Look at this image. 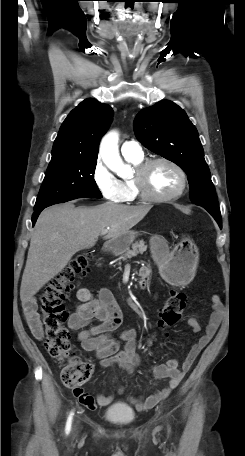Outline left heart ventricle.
Wrapping results in <instances>:
<instances>
[{
	"label": "left heart ventricle",
	"instance_id": "1",
	"mask_svg": "<svg viewBox=\"0 0 245 456\" xmlns=\"http://www.w3.org/2000/svg\"><path fill=\"white\" fill-rule=\"evenodd\" d=\"M148 186L155 195H170L178 190L180 177L171 166L165 163H157L148 173Z\"/></svg>",
	"mask_w": 245,
	"mask_h": 456
}]
</instances>
